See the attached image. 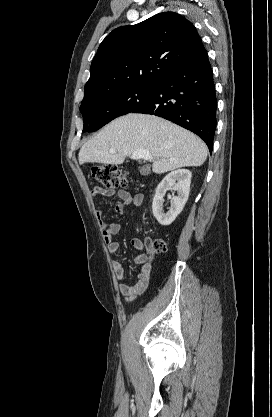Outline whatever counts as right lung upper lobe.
Segmentation results:
<instances>
[{
    "label": "right lung upper lobe",
    "mask_w": 272,
    "mask_h": 417,
    "mask_svg": "<svg viewBox=\"0 0 272 417\" xmlns=\"http://www.w3.org/2000/svg\"><path fill=\"white\" fill-rule=\"evenodd\" d=\"M204 49L191 22L175 12L159 13L113 30L91 63L84 99L156 84Z\"/></svg>",
    "instance_id": "obj_1"
}]
</instances>
